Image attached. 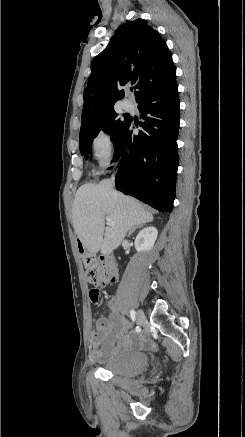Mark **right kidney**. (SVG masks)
I'll list each match as a JSON object with an SVG mask.
<instances>
[{"mask_svg": "<svg viewBox=\"0 0 245 437\" xmlns=\"http://www.w3.org/2000/svg\"><path fill=\"white\" fill-rule=\"evenodd\" d=\"M158 231L155 227L150 226L142 229L135 239V248L138 252H146L152 249L157 239Z\"/></svg>", "mask_w": 245, "mask_h": 437, "instance_id": "obj_1", "label": "right kidney"}]
</instances>
